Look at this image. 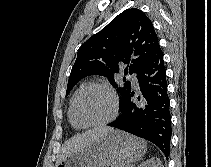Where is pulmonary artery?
Instances as JSON below:
<instances>
[{
  "label": "pulmonary artery",
  "instance_id": "obj_1",
  "mask_svg": "<svg viewBox=\"0 0 211 167\" xmlns=\"http://www.w3.org/2000/svg\"><path fill=\"white\" fill-rule=\"evenodd\" d=\"M132 83L134 84V85H137L138 84V82H137V79H136V77H132Z\"/></svg>",
  "mask_w": 211,
  "mask_h": 167
}]
</instances>
